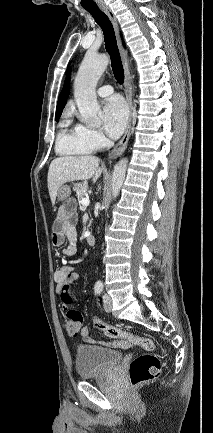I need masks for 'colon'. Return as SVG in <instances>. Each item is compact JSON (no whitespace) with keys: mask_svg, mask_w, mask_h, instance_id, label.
I'll list each match as a JSON object with an SVG mask.
<instances>
[{"mask_svg":"<svg viewBox=\"0 0 213 433\" xmlns=\"http://www.w3.org/2000/svg\"><path fill=\"white\" fill-rule=\"evenodd\" d=\"M65 290L62 294L63 301L70 304L71 297L65 292ZM93 325L96 330L103 332L106 336L120 339L127 344L139 346L147 352L136 357L130 363L129 378L133 386L136 387L142 385L158 377L161 369V362L157 356L151 353L155 349V343L152 339L136 336L100 319H93ZM63 326L69 336L76 337L83 328V318L81 313L77 310L69 311L64 317Z\"/></svg>","mask_w":213,"mask_h":433,"instance_id":"colon-1","label":"colon"}]
</instances>
